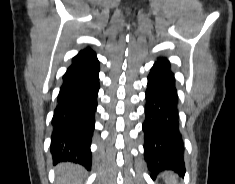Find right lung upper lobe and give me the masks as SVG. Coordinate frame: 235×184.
Instances as JSON below:
<instances>
[{
  "mask_svg": "<svg viewBox=\"0 0 235 184\" xmlns=\"http://www.w3.org/2000/svg\"><path fill=\"white\" fill-rule=\"evenodd\" d=\"M84 50H90L89 48H86V49H84Z\"/></svg>",
  "mask_w": 235,
  "mask_h": 184,
  "instance_id": "cb5924a9",
  "label": "right lung upper lobe"
}]
</instances>
